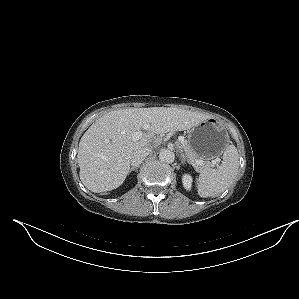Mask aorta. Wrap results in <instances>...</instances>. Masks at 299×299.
<instances>
[{
	"label": "aorta",
	"mask_w": 299,
	"mask_h": 299,
	"mask_svg": "<svg viewBox=\"0 0 299 299\" xmlns=\"http://www.w3.org/2000/svg\"><path fill=\"white\" fill-rule=\"evenodd\" d=\"M159 160L168 164L173 163L175 160V154L173 151L168 149L161 150L159 154Z\"/></svg>",
	"instance_id": "1"
}]
</instances>
